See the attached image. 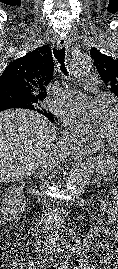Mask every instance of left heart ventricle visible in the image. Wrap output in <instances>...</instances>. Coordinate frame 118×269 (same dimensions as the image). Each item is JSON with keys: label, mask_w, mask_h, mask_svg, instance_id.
<instances>
[{"label": "left heart ventricle", "mask_w": 118, "mask_h": 269, "mask_svg": "<svg viewBox=\"0 0 118 269\" xmlns=\"http://www.w3.org/2000/svg\"><path fill=\"white\" fill-rule=\"evenodd\" d=\"M101 137L105 142L110 141L118 143V112L109 113L105 130Z\"/></svg>", "instance_id": "b2bd125f"}]
</instances>
